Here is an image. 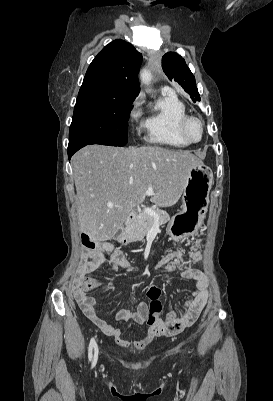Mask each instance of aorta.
I'll return each instance as SVG.
<instances>
[{
    "label": "aorta",
    "mask_w": 273,
    "mask_h": 401,
    "mask_svg": "<svg viewBox=\"0 0 273 401\" xmlns=\"http://www.w3.org/2000/svg\"><path fill=\"white\" fill-rule=\"evenodd\" d=\"M151 78V73L146 68L141 71L140 79L143 84L148 85L151 81Z\"/></svg>",
    "instance_id": "762f6f07"
}]
</instances>
